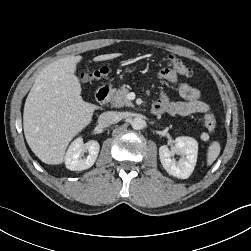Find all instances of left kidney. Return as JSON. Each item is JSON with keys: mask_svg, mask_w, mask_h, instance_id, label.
I'll return each instance as SVG.
<instances>
[{"mask_svg": "<svg viewBox=\"0 0 251 251\" xmlns=\"http://www.w3.org/2000/svg\"><path fill=\"white\" fill-rule=\"evenodd\" d=\"M174 148L183 157L176 161L173 151L168 146L162 145L159 148V157L163 168L169 175L179 179H187L193 172L198 154V143L192 137L181 136L174 141Z\"/></svg>", "mask_w": 251, "mask_h": 251, "instance_id": "5707ae66", "label": "left kidney"}]
</instances>
